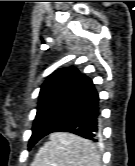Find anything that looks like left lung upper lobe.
Instances as JSON below:
<instances>
[{
	"instance_id": "5c2ea615",
	"label": "left lung upper lobe",
	"mask_w": 135,
	"mask_h": 166,
	"mask_svg": "<svg viewBox=\"0 0 135 166\" xmlns=\"http://www.w3.org/2000/svg\"><path fill=\"white\" fill-rule=\"evenodd\" d=\"M80 75L75 67H67L56 70L46 79L39 93L37 114L32 129H36L57 110L77 83Z\"/></svg>"
}]
</instances>
